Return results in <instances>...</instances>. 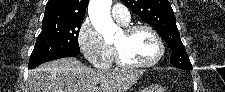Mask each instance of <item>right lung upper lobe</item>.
<instances>
[{
	"label": "right lung upper lobe",
	"mask_w": 225,
	"mask_h": 92,
	"mask_svg": "<svg viewBox=\"0 0 225 92\" xmlns=\"http://www.w3.org/2000/svg\"><path fill=\"white\" fill-rule=\"evenodd\" d=\"M89 0H49L42 24L83 22Z\"/></svg>",
	"instance_id": "1"
}]
</instances>
